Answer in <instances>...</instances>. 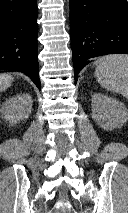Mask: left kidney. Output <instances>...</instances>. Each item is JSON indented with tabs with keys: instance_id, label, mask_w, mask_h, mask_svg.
I'll return each mask as SVG.
<instances>
[{
	"instance_id": "left-kidney-1",
	"label": "left kidney",
	"mask_w": 128,
	"mask_h": 213,
	"mask_svg": "<svg viewBox=\"0 0 128 213\" xmlns=\"http://www.w3.org/2000/svg\"><path fill=\"white\" fill-rule=\"evenodd\" d=\"M92 118L105 130L123 126L128 120V111L119 100L94 93L91 99Z\"/></svg>"
}]
</instances>
